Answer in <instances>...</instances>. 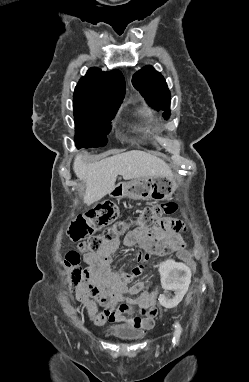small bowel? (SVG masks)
Masks as SVG:
<instances>
[{
  "label": "small bowel",
  "instance_id": "c3829d8e",
  "mask_svg": "<svg viewBox=\"0 0 249 382\" xmlns=\"http://www.w3.org/2000/svg\"><path fill=\"white\" fill-rule=\"evenodd\" d=\"M184 228L180 219L164 217L150 228H137L123 239L118 237L106 243L99 252H86L83 255L87 267L78 293L89 318L95 324L120 323L141 331L154 327L157 309L154 307L155 298L145 291L148 281L140 280L128 286L134 276L114 270L111 266L112 257L121 245L131 247L140 242L147 248L180 252L184 247L181 236ZM135 257L142 261L144 254L137 252ZM137 294L139 296L136 299L130 297ZM97 304L104 307L102 313L98 312ZM133 305L138 306L136 315L131 314ZM154 308L156 312L151 313Z\"/></svg>",
  "mask_w": 249,
  "mask_h": 382
}]
</instances>
